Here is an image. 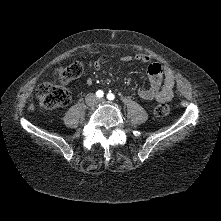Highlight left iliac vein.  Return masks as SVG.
I'll return each instance as SVG.
<instances>
[{
    "mask_svg": "<svg viewBox=\"0 0 221 221\" xmlns=\"http://www.w3.org/2000/svg\"><path fill=\"white\" fill-rule=\"evenodd\" d=\"M99 102H101V103H104L105 102V99H99Z\"/></svg>",
    "mask_w": 221,
    "mask_h": 221,
    "instance_id": "left-iliac-vein-1",
    "label": "left iliac vein"
}]
</instances>
